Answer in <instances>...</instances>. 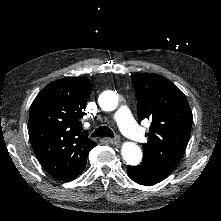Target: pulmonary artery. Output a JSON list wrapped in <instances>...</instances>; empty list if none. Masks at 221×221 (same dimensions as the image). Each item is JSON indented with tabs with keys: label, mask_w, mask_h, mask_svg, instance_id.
I'll use <instances>...</instances> for the list:
<instances>
[{
	"label": "pulmonary artery",
	"mask_w": 221,
	"mask_h": 221,
	"mask_svg": "<svg viewBox=\"0 0 221 221\" xmlns=\"http://www.w3.org/2000/svg\"><path fill=\"white\" fill-rule=\"evenodd\" d=\"M115 119L121 122V130L137 144L143 143L146 140V130L141 127L133 118H130L131 113L127 107L121 106L115 110Z\"/></svg>",
	"instance_id": "1"
}]
</instances>
